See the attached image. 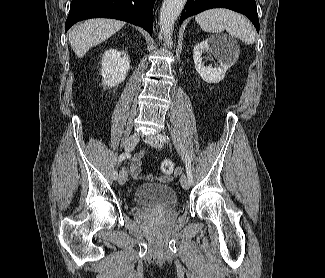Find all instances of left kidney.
Returning <instances> with one entry per match:
<instances>
[{
    "label": "left kidney",
    "instance_id": "5707ae66",
    "mask_svg": "<svg viewBox=\"0 0 325 278\" xmlns=\"http://www.w3.org/2000/svg\"><path fill=\"white\" fill-rule=\"evenodd\" d=\"M204 51L211 52L220 62V66L214 68L205 66L202 60ZM193 58L196 71L201 78L207 83H218L224 79L226 71L237 61L238 51L225 37H210L194 47Z\"/></svg>",
    "mask_w": 325,
    "mask_h": 278
}]
</instances>
